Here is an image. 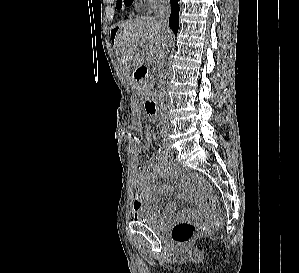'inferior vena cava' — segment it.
Wrapping results in <instances>:
<instances>
[{
	"label": "inferior vena cava",
	"mask_w": 299,
	"mask_h": 273,
	"mask_svg": "<svg viewBox=\"0 0 299 273\" xmlns=\"http://www.w3.org/2000/svg\"><path fill=\"white\" fill-rule=\"evenodd\" d=\"M154 12H155V18L159 24V26L161 27V29L164 32H169V26H168V20H169V16L171 13V5H170V1L169 0H156L155 6H154ZM168 53V48L166 50H164L160 56V62L161 65L163 66L166 55ZM161 82H160V86L163 90V93L160 96V100H161V115L165 116L168 110V104H167V95L165 93V73L164 70H162L161 73ZM164 129L167 130V126H164Z\"/></svg>",
	"instance_id": "1"
}]
</instances>
